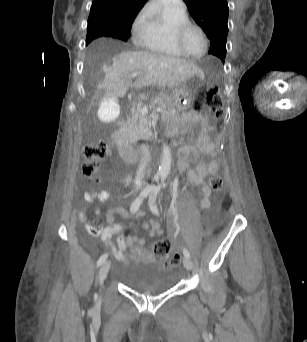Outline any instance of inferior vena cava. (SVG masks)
I'll return each mask as SVG.
<instances>
[{
  "instance_id": "602c4592",
  "label": "inferior vena cava",
  "mask_w": 307,
  "mask_h": 342,
  "mask_svg": "<svg viewBox=\"0 0 307 342\" xmlns=\"http://www.w3.org/2000/svg\"><path fill=\"white\" fill-rule=\"evenodd\" d=\"M149 164H150L149 150H147V148H141V160H140L139 166L136 170V176H135V180H134V186H135L136 190H140V188L144 182L146 170H147Z\"/></svg>"
}]
</instances>
